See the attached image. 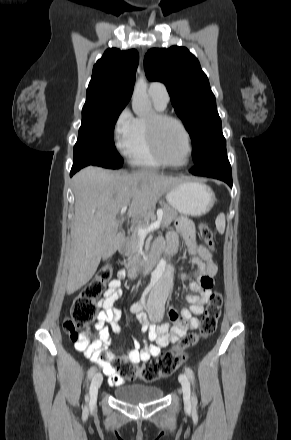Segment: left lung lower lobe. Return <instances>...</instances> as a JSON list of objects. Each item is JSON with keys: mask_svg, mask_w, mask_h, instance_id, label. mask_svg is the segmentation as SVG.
<instances>
[{"mask_svg": "<svg viewBox=\"0 0 291 440\" xmlns=\"http://www.w3.org/2000/svg\"><path fill=\"white\" fill-rule=\"evenodd\" d=\"M190 172L193 175L222 180L232 188V171L226 154V148L213 154L204 163L194 166Z\"/></svg>", "mask_w": 291, "mask_h": 440, "instance_id": "left-lung-lower-lobe-1", "label": "left lung lower lobe"}]
</instances>
